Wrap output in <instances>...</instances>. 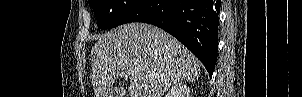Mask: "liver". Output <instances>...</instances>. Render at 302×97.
I'll return each instance as SVG.
<instances>
[{
    "label": "liver",
    "instance_id": "liver-1",
    "mask_svg": "<svg viewBox=\"0 0 302 97\" xmlns=\"http://www.w3.org/2000/svg\"><path fill=\"white\" fill-rule=\"evenodd\" d=\"M95 97H107L129 79L130 97H162L175 83L200 76L199 60L176 38L145 23H128L101 35L91 51Z\"/></svg>",
    "mask_w": 302,
    "mask_h": 97
}]
</instances>
